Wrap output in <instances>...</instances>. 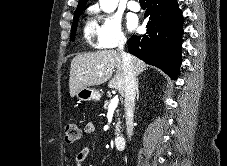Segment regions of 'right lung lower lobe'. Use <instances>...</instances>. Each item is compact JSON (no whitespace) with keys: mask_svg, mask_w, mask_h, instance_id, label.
Segmentation results:
<instances>
[{"mask_svg":"<svg viewBox=\"0 0 227 166\" xmlns=\"http://www.w3.org/2000/svg\"><path fill=\"white\" fill-rule=\"evenodd\" d=\"M146 1L147 33L129 39V52L175 79L181 63V10L177 0Z\"/></svg>","mask_w":227,"mask_h":166,"instance_id":"obj_1","label":"right lung lower lobe"}]
</instances>
